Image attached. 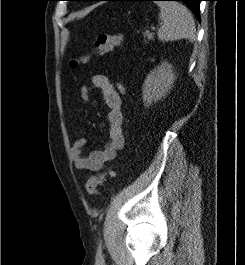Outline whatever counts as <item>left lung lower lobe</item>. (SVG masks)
I'll list each match as a JSON object with an SVG mask.
<instances>
[{
  "label": "left lung lower lobe",
  "instance_id": "0a47b994",
  "mask_svg": "<svg viewBox=\"0 0 245 265\" xmlns=\"http://www.w3.org/2000/svg\"><path fill=\"white\" fill-rule=\"evenodd\" d=\"M83 1H103V0H83ZM105 1H124V0H105ZM149 1H158V0H149ZM174 1H182L186 3L190 9L194 12L198 19H200L199 13V2L202 0H174Z\"/></svg>",
  "mask_w": 245,
  "mask_h": 265
}]
</instances>
